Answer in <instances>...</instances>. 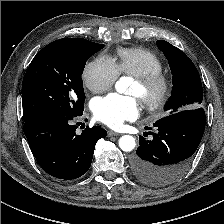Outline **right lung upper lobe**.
<instances>
[{
	"label": "right lung upper lobe",
	"instance_id": "1",
	"mask_svg": "<svg viewBox=\"0 0 224 224\" xmlns=\"http://www.w3.org/2000/svg\"><path fill=\"white\" fill-rule=\"evenodd\" d=\"M80 39H83V38H69V39H60V40L69 42V41H79Z\"/></svg>",
	"mask_w": 224,
	"mask_h": 224
}]
</instances>
